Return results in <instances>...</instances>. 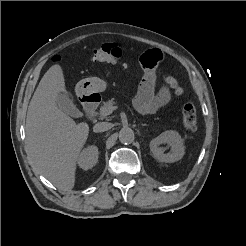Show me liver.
<instances>
[{
    "label": "liver",
    "mask_w": 246,
    "mask_h": 246,
    "mask_svg": "<svg viewBox=\"0 0 246 246\" xmlns=\"http://www.w3.org/2000/svg\"><path fill=\"white\" fill-rule=\"evenodd\" d=\"M66 92L62 67L51 66L29 103L26 150L35 169L62 191L75 185L76 163L89 134L87 123L76 124L56 104Z\"/></svg>",
    "instance_id": "obj_1"
}]
</instances>
